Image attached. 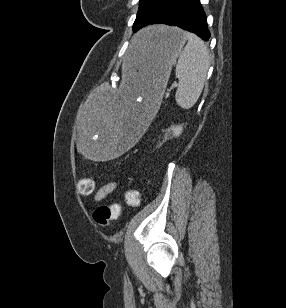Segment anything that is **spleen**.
I'll return each mask as SVG.
<instances>
[{
    "mask_svg": "<svg viewBox=\"0 0 286 308\" xmlns=\"http://www.w3.org/2000/svg\"><path fill=\"white\" fill-rule=\"evenodd\" d=\"M185 36L188 42L179 55L175 70L179 80L175 100L181 108L190 109L202 93L210 56L199 37L190 32H185Z\"/></svg>",
    "mask_w": 286,
    "mask_h": 308,
    "instance_id": "obj_1",
    "label": "spleen"
}]
</instances>
